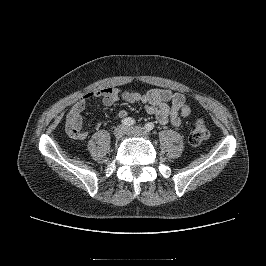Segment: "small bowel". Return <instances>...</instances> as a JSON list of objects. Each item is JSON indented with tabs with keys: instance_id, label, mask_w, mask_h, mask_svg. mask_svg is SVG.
<instances>
[{
	"instance_id": "small-bowel-1",
	"label": "small bowel",
	"mask_w": 266,
	"mask_h": 266,
	"mask_svg": "<svg viewBox=\"0 0 266 266\" xmlns=\"http://www.w3.org/2000/svg\"><path fill=\"white\" fill-rule=\"evenodd\" d=\"M97 99H100L104 106H110L120 100L130 104L142 103L146 111L155 116L160 124L170 123L176 129L182 127L183 118L191 113L184 95L168 89L154 88L145 94H140L106 87L85 94L71 106L66 115V131L71 138L76 140L87 138L88 130L84 127L82 113L87 108L88 101ZM125 116L124 110L119 111V117Z\"/></svg>"
}]
</instances>
